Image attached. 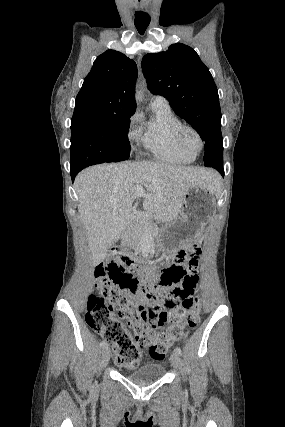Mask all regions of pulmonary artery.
<instances>
[{
  "label": "pulmonary artery",
  "mask_w": 285,
  "mask_h": 427,
  "mask_svg": "<svg viewBox=\"0 0 285 427\" xmlns=\"http://www.w3.org/2000/svg\"><path fill=\"white\" fill-rule=\"evenodd\" d=\"M152 102L153 103H158V104H168L167 99L164 96H161V95H154L152 97Z\"/></svg>",
  "instance_id": "obj_1"
}]
</instances>
